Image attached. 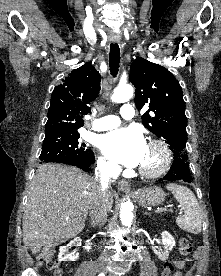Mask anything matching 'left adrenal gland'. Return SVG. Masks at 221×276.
<instances>
[{
    "instance_id": "left-adrenal-gland-1",
    "label": "left adrenal gland",
    "mask_w": 221,
    "mask_h": 276,
    "mask_svg": "<svg viewBox=\"0 0 221 276\" xmlns=\"http://www.w3.org/2000/svg\"><path fill=\"white\" fill-rule=\"evenodd\" d=\"M144 214H145V215H147V214H148V212H147V211H145V212H144Z\"/></svg>"
}]
</instances>
